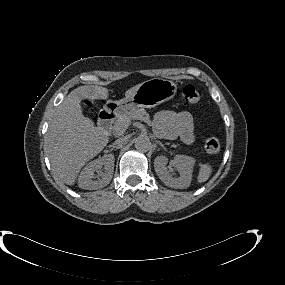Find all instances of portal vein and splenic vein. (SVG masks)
<instances>
[{
	"instance_id": "18ae733b",
	"label": "portal vein and splenic vein",
	"mask_w": 285,
	"mask_h": 285,
	"mask_svg": "<svg viewBox=\"0 0 285 285\" xmlns=\"http://www.w3.org/2000/svg\"><path fill=\"white\" fill-rule=\"evenodd\" d=\"M139 120H142V121L146 122L147 124H149V120L146 118H140Z\"/></svg>"
}]
</instances>
